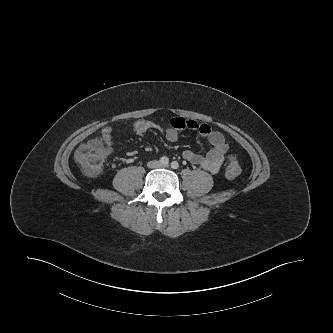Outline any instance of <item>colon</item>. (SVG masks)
<instances>
[{
	"instance_id": "5ec220e1",
	"label": "colon",
	"mask_w": 333,
	"mask_h": 333,
	"mask_svg": "<svg viewBox=\"0 0 333 333\" xmlns=\"http://www.w3.org/2000/svg\"><path fill=\"white\" fill-rule=\"evenodd\" d=\"M107 148L103 141L95 139L82 144L75 152L77 165L89 176H98L102 169ZM241 173V165L235 157H231L226 165L225 174L234 179Z\"/></svg>"
}]
</instances>
